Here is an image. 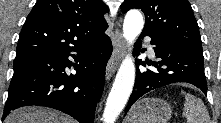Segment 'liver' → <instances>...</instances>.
I'll return each mask as SVG.
<instances>
[{
    "label": "liver",
    "instance_id": "liver-1",
    "mask_svg": "<svg viewBox=\"0 0 221 123\" xmlns=\"http://www.w3.org/2000/svg\"><path fill=\"white\" fill-rule=\"evenodd\" d=\"M4 123H75L70 117L48 108L22 107L12 111Z\"/></svg>",
    "mask_w": 221,
    "mask_h": 123
}]
</instances>
